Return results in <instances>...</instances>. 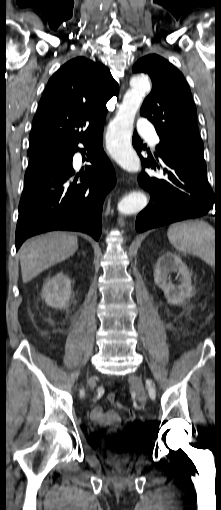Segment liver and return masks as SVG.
Wrapping results in <instances>:
<instances>
[{"label": "liver", "mask_w": 221, "mask_h": 510, "mask_svg": "<svg viewBox=\"0 0 221 510\" xmlns=\"http://www.w3.org/2000/svg\"><path fill=\"white\" fill-rule=\"evenodd\" d=\"M77 249V237L65 232H51L26 241L19 250L23 282L31 281L45 269L66 260Z\"/></svg>", "instance_id": "liver-1"}]
</instances>
